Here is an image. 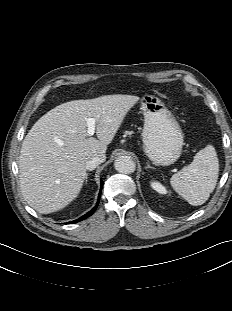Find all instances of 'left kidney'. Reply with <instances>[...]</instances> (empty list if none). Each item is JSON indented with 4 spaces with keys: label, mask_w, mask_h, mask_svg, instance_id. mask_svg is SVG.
Listing matches in <instances>:
<instances>
[{
    "label": "left kidney",
    "mask_w": 232,
    "mask_h": 311,
    "mask_svg": "<svg viewBox=\"0 0 232 311\" xmlns=\"http://www.w3.org/2000/svg\"><path fill=\"white\" fill-rule=\"evenodd\" d=\"M151 187H152L155 191H157L158 193H160V194H166V193H167L166 188H165L161 183H159V182H157V181H152V182H151Z\"/></svg>",
    "instance_id": "1"
}]
</instances>
